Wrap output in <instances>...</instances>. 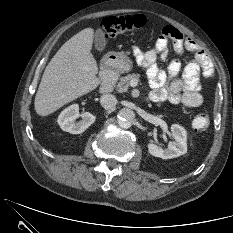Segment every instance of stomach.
<instances>
[{
  "label": "stomach",
  "instance_id": "obj_1",
  "mask_svg": "<svg viewBox=\"0 0 233 233\" xmlns=\"http://www.w3.org/2000/svg\"><path fill=\"white\" fill-rule=\"evenodd\" d=\"M113 56H114L113 67L118 72H126L131 70L132 62L123 52L114 53Z\"/></svg>",
  "mask_w": 233,
  "mask_h": 233
}]
</instances>
